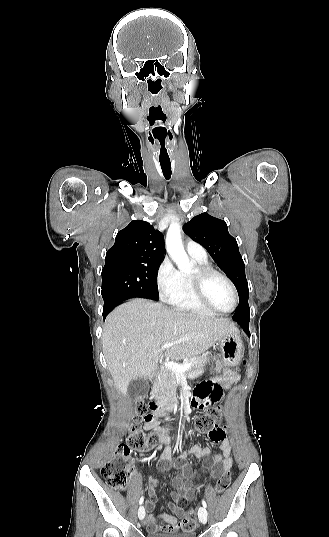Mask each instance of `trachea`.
Here are the masks:
<instances>
[{"label": "trachea", "mask_w": 329, "mask_h": 537, "mask_svg": "<svg viewBox=\"0 0 329 537\" xmlns=\"http://www.w3.org/2000/svg\"><path fill=\"white\" fill-rule=\"evenodd\" d=\"M161 165V169H162V172H163V175L165 177L166 180H169L171 178V164L168 163V164H160Z\"/></svg>", "instance_id": "3493384b"}]
</instances>
